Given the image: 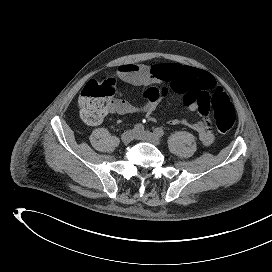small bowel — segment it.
Instances as JSON below:
<instances>
[{
    "label": "small bowel",
    "mask_w": 272,
    "mask_h": 272,
    "mask_svg": "<svg viewBox=\"0 0 272 272\" xmlns=\"http://www.w3.org/2000/svg\"><path fill=\"white\" fill-rule=\"evenodd\" d=\"M118 77L129 84L144 86L168 83L170 88L183 95L184 105L191 111L198 113V122L190 123L184 119L169 120L170 125H186L194 130L203 145H210L214 141L211 130L213 118L208 111V96L210 91L217 88L214 76L204 70L181 64L161 63L153 66L127 63L120 65ZM160 99H144L140 105H134L124 99H115L109 109L110 113L142 114L147 120L155 121L154 113Z\"/></svg>",
    "instance_id": "small-bowel-1"
}]
</instances>
